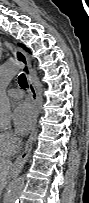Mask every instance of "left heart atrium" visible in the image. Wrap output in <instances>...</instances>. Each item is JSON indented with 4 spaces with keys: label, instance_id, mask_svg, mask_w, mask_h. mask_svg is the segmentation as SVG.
<instances>
[{
    "label": "left heart atrium",
    "instance_id": "left-heart-atrium-1",
    "mask_svg": "<svg viewBox=\"0 0 89 203\" xmlns=\"http://www.w3.org/2000/svg\"><path fill=\"white\" fill-rule=\"evenodd\" d=\"M34 119V107L28 101L20 102L13 113L16 132L22 136L26 135L32 129Z\"/></svg>",
    "mask_w": 89,
    "mask_h": 203
}]
</instances>
